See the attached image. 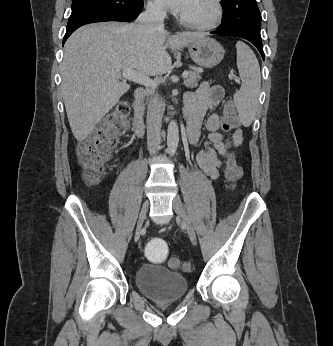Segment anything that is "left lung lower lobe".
<instances>
[{
  "mask_svg": "<svg viewBox=\"0 0 333 346\" xmlns=\"http://www.w3.org/2000/svg\"><path fill=\"white\" fill-rule=\"evenodd\" d=\"M211 33L244 38L256 46V48L259 50L263 60L265 58L263 46H262V42H261V37L256 36L245 29L235 27V26H222L220 29L213 31Z\"/></svg>",
  "mask_w": 333,
  "mask_h": 346,
  "instance_id": "1",
  "label": "left lung lower lobe"
}]
</instances>
